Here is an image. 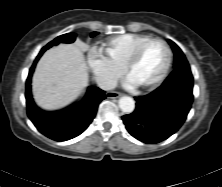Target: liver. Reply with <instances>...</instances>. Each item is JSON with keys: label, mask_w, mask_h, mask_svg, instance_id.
Returning a JSON list of instances; mask_svg holds the SVG:
<instances>
[{"label": "liver", "mask_w": 222, "mask_h": 187, "mask_svg": "<svg viewBox=\"0 0 222 187\" xmlns=\"http://www.w3.org/2000/svg\"><path fill=\"white\" fill-rule=\"evenodd\" d=\"M88 81L81 49L75 44H59L39 60L32 79L36 103L47 110L62 108L78 98Z\"/></svg>", "instance_id": "1"}]
</instances>
